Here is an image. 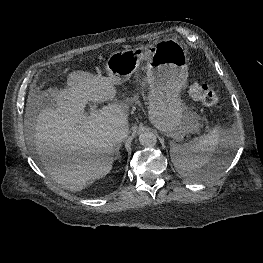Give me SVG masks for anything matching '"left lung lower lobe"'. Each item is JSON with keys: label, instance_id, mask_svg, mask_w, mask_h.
<instances>
[{"label": "left lung lower lobe", "instance_id": "obj_1", "mask_svg": "<svg viewBox=\"0 0 263 263\" xmlns=\"http://www.w3.org/2000/svg\"><path fill=\"white\" fill-rule=\"evenodd\" d=\"M218 163V162H217ZM217 163L215 164V165H212V166H210L209 168H207V169H205L203 172L204 173H213L214 171H215V168H216V165H217Z\"/></svg>", "mask_w": 263, "mask_h": 263}]
</instances>
